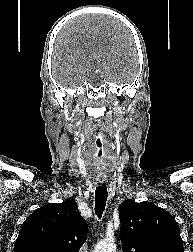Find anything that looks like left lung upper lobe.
<instances>
[{
  "label": "left lung upper lobe",
  "instance_id": "obj_1",
  "mask_svg": "<svg viewBox=\"0 0 193 252\" xmlns=\"http://www.w3.org/2000/svg\"><path fill=\"white\" fill-rule=\"evenodd\" d=\"M119 218L123 252H184L176 220L155 204L125 200Z\"/></svg>",
  "mask_w": 193,
  "mask_h": 252
}]
</instances>
